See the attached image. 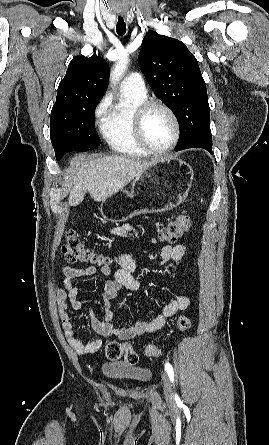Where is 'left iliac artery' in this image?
Listing matches in <instances>:
<instances>
[{
  "instance_id": "1",
  "label": "left iliac artery",
  "mask_w": 269,
  "mask_h": 445,
  "mask_svg": "<svg viewBox=\"0 0 269 445\" xmlns=\"http://www.w3.org/2000/svg\"><path fill=\"white\" fill-rule=\"evenodd\" d=\"M165 369H166V371H167V373L169 375L170 380L173 382L174 381V370H173V367L171 366V364L166 363L165 364Z\"/></svg>"
}]
</instances>
